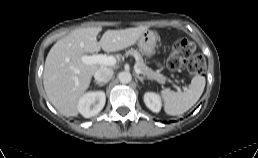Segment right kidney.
I'll return each instance as SVG.
<instances>
[{
	"instance_id": "obj_1",
	"label": "right kidney",
	"mask_w": 258,
	"mask_h": 158,
	"mask_svg": "<svg viewBox=\"0 0 258 158\" xmlns=\"http://www.w3.org/2000/svg\"><path fill=\"white\" fill-rule=\"evenodd\" d=\"M105 102L106 96L103 91H91L79 99L77 108L83 117L90 118L103 109Z\"/></svg>"
}]
</instances>
